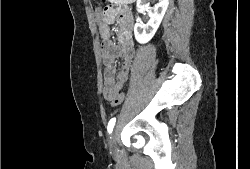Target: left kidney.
Returning <instances> with one entry per match:
<instances>
[{
  "label": "left kidney",
  "mask_w": 250,
  "mask_h": 169,
  "mask_svg": "<svg viewBox=\"0 0 250 169\" xmlns=\"http://www.w3.org/2000/svg\"><path fill=\"white\" fill-rule=\"evenodd\" d=\"M168 4L169 0H157L154 8H151L149 2H145V0H137L136 6L138 10H140V12L147 10L149 16L147 24H142V22H139V18H136L134 34L138 42H142L143 44V42L151 40L159 24H161V20L168 8Z\"/></svg>",
  "instance_id": "obj_1"
}]
</instances>
